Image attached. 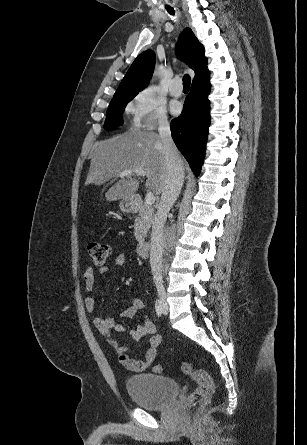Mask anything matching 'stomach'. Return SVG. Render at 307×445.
Wrapping results in <instances>:
<instances>
[{
    "mask_svg": "<svg viewBox=\"0 0 307 445\" xmlns=\"http://www.w3.org/2000/svg\"><path fill=\"white\" fill-rule=\"evenodd\" d=\"M119 206H120V210H122V212H130L132 202H130V200H128V198H122V200H120V202H119Z\"/></svg>",
    "mask_w": 307,
    "mask_h": 445,
    "instance_id": "obj_1",
    "label": "stomach"
}]
</instances>
